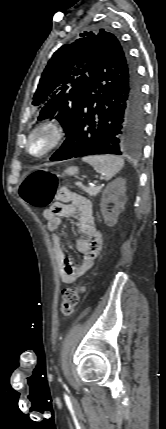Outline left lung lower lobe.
<instances>
[{"mask_svg": "<svg viewBox=\"0 0 166 429\" xmlns=\"http://www.w3.org/2000/svg\"><path fill=\"white\" fill-rule=\"evenodd\" d=\"M143 96L134 64L114 35H99L90 78L62 146L51 161L92 154H137Z\"/></svg>", "mask_w": 166, "mask_h": 429, "instance_id": "obj_1", "label": "left lung lower lobe"}]
</instances>
